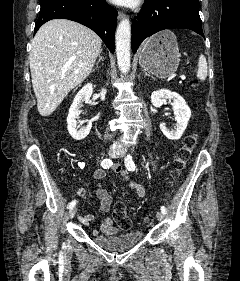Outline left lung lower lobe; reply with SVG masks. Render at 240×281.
<instances>
[{
	"instance_id": "left-lung-lower-lobe-1",
	"label": "left lung lower lobe",
	"mask_w": 240,
	"mask_h": 281,
	"mask_svg": "<svg viewBox=\"0 0 240 281\" xmlns=\"http://www.w3.org/2000/svg\"><path fill=\"white\" fill-rule=\"evenodd\" d=\"M170 28H185L204 38L199 16V0H145L142 12L132 21V51L154 33Z\"/></svg>"
}]
</instances>
